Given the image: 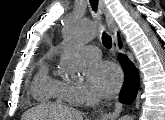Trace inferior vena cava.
Segmentation results:
<instances>
[{"instance_id": "1", "label": "inferior vena cava", "mask_w": 165, "mask_h": 120, "mask_svg": "<svg viewBox=\"0 0 165 120\" xmlns=\"http://www.w3.org/2000/svg\"><path fill=\"white\" fill-rule=\"evenodd\" d=\"M97 102H98V100H97L96 97L90 96L89 99H88V101H87V105H88V106H89V105H94V104L97 103Z\"/></svg>"}]
</instances>
